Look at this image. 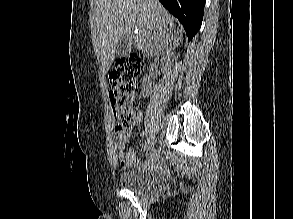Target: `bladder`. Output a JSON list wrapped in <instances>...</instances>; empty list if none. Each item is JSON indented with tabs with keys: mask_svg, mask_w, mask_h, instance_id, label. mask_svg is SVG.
Wrapping results in <instances>:
<instances>
[{
	"mask_svg": "<svg viewBox=\"0 0 293 219\" xmlns=\"http://www.w3.org/2000/svg\"><path fill=\"white\" fill-rule=\"evenodd\" d=\"M120 185L135 193H154L167 185L166 177L150 169H133L120 174Z\"/></svg>",
	"mask_w": 293,
	"mask_h": 219,
	"instance_id": "bladder-1",
	"label": "bladder"
}]
</instances>
